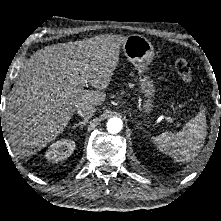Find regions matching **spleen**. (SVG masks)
I'll return each mask as SVG.
<instances>
[{
  "label": "spleen",
  "mask_w": 221,
  "mask_h": 221,
  "mask_svg": "<svg viewBox=\"0 0 221 221\" xmlns=\"http://www.w3.org/2000/svg\"><path fill=\"white\" fill-rule=\"evenodd\" d=\"M204 112L201 110L176 134L164 132L157 137H152V143L160 152L170 156L175 162L191 161L198 156L206 138L207 124Z\"/></svg>",
  "instance_id": "spleen-1"
}]
</instances>
